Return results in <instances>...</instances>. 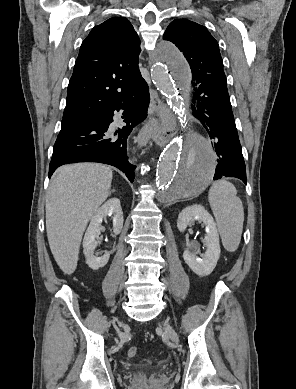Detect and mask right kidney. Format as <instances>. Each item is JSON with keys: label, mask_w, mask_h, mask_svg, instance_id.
Returning a JSON list of instances; mask_svg holds the SVG:
<instances>
[{"label": "right kidney", "mask_w": 296, "mask_h": 389, "mask_svg": "<svg viewBox=\"0 0 296 389\" xmlns=\"http://www.w3.org/2000/svg\"><path fill=\"white\" fill-rule=\"evenodd\" d=\"M107 216H111L113 219V233L115 235L119 234L123 228L124 220L120 200L118 198L114 197L107 200L96 210L85 233L83 239V253L86 258V264L93 270L104 267L110 257L109 253H105L101 257L94 255V250L97 247L96 239L99 237L102 229L101 223Z\"/></svg>", "instance_id": "ca27d5eb"}]
</instances>
